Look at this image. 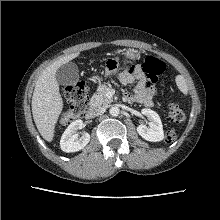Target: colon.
Segmentation results:
<instances>
[{
    "label": "colon",
    "instance_id": "colon-1",
    "mask_svg": "<svg viewBox=\"0 0 220 220\" xmlns=\"http://www.w3.org/2000/svg\"><path fill=\"white\" fill-rule=\"evenodd\" d=\"M125 65L128 63L125 61ZM143 71L145 72L150 85L152 86L164 71V64L159 59L149 56L143 62ZM63 94L69 101L70 107L64 112L59 120L61 126H66L71 122L81 118L87 111V91L85 85L82 82H77L71 85H67L63 88ZM169 120L175 124L181 123L185 114L183 110L175 104L170 105L168 109ZM176 139V133L173 129H169L166 132L165 140L168 143L173 142Z\"/></svg>",
    "mask_w": 220,
    "mask_h": 220
}]
</instances>
